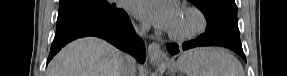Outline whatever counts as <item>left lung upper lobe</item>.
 Here are the masks:
<instances>
[{
	"label": "left lung upper lobe",
	"mask_w": 287,
	"mask_h": 76,
	"mask_svg": "<svg viewBox=\"0 0 287 76\" xmlns=\"http://www.w3.org/2000/svg\"><path fill=\"white\" fill-rule=\"evenodd\" d=\"M206 16V32L240 41L235 0H189Z\"/></svg>",
	"instance_id": "left-lung-upper-lobe-1"
}]
</instances>
